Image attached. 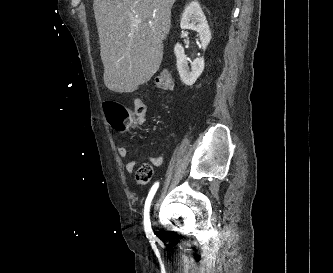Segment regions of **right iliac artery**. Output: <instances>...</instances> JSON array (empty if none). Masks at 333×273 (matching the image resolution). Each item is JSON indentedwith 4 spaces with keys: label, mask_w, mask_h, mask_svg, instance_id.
I'll return each instance as SVG.
<instances>
[{
    "label": "right iliac artery",
    "mask_w": 333,
    "mask_h": 273,
    "mask_svg": "<svg viewBox=\"0 0 333 273\" xmlns=\"http://www.w3.org/2000/svg\"><path fill=\"white\" fill-rule=\"evenodd\" d=\"M159 187V182H156L152 188L149 191V194L147 196V199L145 201V206H144V230L146 233V237L150 240L155 238V235L152 231L151 228V222H150V215H149V211H150V205H151V201L157 191Z\"/></svg>",
    "instance_id": "right-iliac-artery-1"
}]
</instances>
